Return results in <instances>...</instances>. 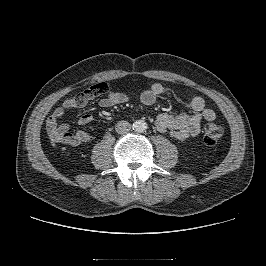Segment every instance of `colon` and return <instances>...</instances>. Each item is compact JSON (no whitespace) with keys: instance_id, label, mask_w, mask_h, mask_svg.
Listing matches in <instances>:
<instances>
[{"instance_id":"5ec220e1","label":"colon","mask_w":266,"mask_h":266,"mask_svg":"<svg viewBox=\"0 0 266 266\" xmlns=\"http://www.w3.org/2000/svg\"><path fill=\"white\" fill-rule=\"evenodd\" d=\"M106 91H107V85L104 83H98L80 93L85 94L91 98H94L105 94ZM223 134L224 130L220 125L213 122L207 123L204 126L203 141L207 146H214L221 140Z\"/></svg>"}]
</instances>
